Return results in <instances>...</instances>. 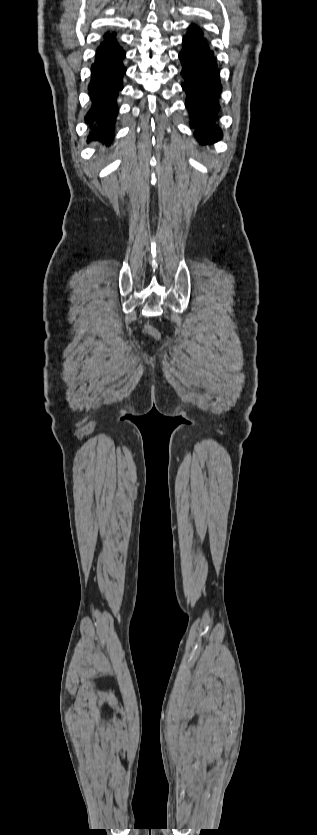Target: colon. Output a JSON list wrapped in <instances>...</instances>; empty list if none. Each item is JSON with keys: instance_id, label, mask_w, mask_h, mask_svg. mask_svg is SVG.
Segmentation results:
<instances>
[{"instance_id": "1", "label": "colon", "mask_w": 317, "mask_h": 835, "mask_svg": "<svg viewBox=\"0 0 317 835\" xmlns=\"http://www.w3.org/2000/svg\"><path fill=\"white\" fill-rule=\"evenodd\" d=\"M145 330L149 335L153 336L154 338H159V336H160V333L158 332V330L155 329L154 327H152L149 324H147L145 326Z\"/></svg>"}]
</instances>
